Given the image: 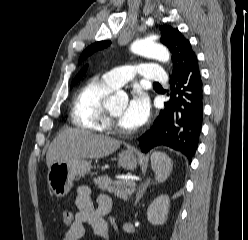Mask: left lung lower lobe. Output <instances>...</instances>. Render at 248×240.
<instances>
[{
    "instance_id": "left-lung-lower-lobe-1",
    "label": "left lung lower lobe",
    "mask_w": 248,
    "mask_h": 240,
    "mask_svg": "<svg viewBox=\"0 0 248 240\" xmlns=\"http://www.w3.org/2000/svg\"><path fill=\"white\" fill-rule=\"evenodd\" d=\"M170 100L153 126L140 138L142 152L165 145L189 162L198 148L203 120V88L196 56L170 79Z\"/></svg>"
}]
</instances>
